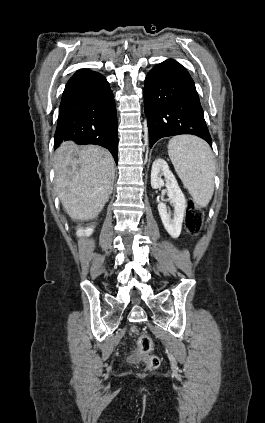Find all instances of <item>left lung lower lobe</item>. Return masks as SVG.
I'll use <instances>...</instances> for the list:
<instances>
[{"mask_svg": "<svg viewBox=\"0 0 265 423\" xmlns=\"http://www.w3.org/2000/svg\"><path fill=\"white\" fill-rule=\"evenodd\" d=\"M144 111L150 147L162 137L179 134L199 136L212 146L194 81L175 60L156 65L146 76Z\"/></svg>", "mask_w": 265, "mask_h": 423, "instance_id": "left-lung-lower-lobe-1", "label": "left lung lower lobe"}]
</instances>
